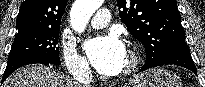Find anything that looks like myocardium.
Returning <instances> with one entry per match:
<instances>
[{"instance_id":"1","label":"myocardium","mask_w":205,"mask_h":87,"mask_svg":"<svg viewBox=\"0 0 205 87\" xmlns=\"http://www.w3.org/2000/svg\"><path fill=\"white\" fill-rule=\"evenodd\" d=\"M126 53L128 54V61L125 67L122 69L123 75H129L133 73L140 64V56L135 49H128Z\"/></svg>"}]
</instances>
